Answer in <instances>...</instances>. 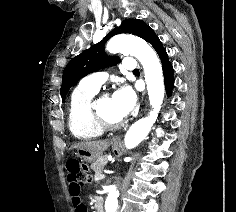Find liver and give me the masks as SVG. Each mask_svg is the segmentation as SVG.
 Wrapping results in <instances>:
<instances>
[{
    "mask_svg": "<svg viewBox=\"0 0 236 212\" xmlns=\"http://www.w3.org/2000/svg\"><path fill=\"white\" fill-rule=\"evenodd\" d=\"M110 145L108 140H97V141H82L74 144L71 148L79 149L83 148L91 151L96 155H100L103 151H106Z\"/></svg>",
    "mask_w": 236,
    "mask_h": 212,
    "instance_id": "6515ba94",
    "label": "liver"
}]
</instances>
